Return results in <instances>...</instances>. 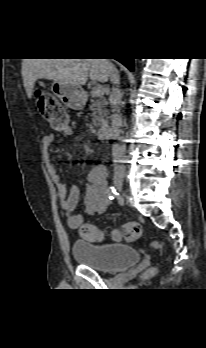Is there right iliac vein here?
<instances>
[{
    "label": "right iliac vein",
    "instance_id": "obj_1",
    "mask_svg": "<svg viewBox=\"0 0 206 348\" xmlns=\"http://www.w3.org/2000/svg\"><path fill=\"white\" fill-rule=\"evenodd\" d=\"M114 184L116 186V188L121 191L123 189V177L121 176H116L114 178Z\"/></svg>",
    "mask_w": 206,
    "mask_h": 348
}]
</instances>
